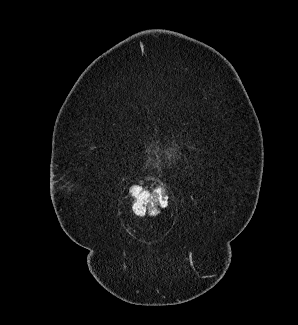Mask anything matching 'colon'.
I'll return each instance as SVG.
<instances>
[{
	"label": "colon",
	"mask_w": 298,
	"mask_h": 325,
	"mask_svg": "<svg viewBox=\"0 0 298 325\" xmlns=\"http://www.w3.org/2000/svg\"><path fill=\"white\" fill-rule=\"evenodd\" d=\"M132 209L137 215H156L160 207L168 200L163 187L146 188L135 186L131 189Z\"/></svg>",
	"instance_id": "1"
}]
</instances>
